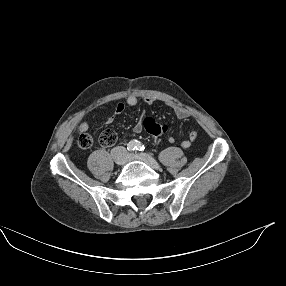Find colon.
<instances>
[{
    "instance_id": "colon-1",
    "label": "colon",
    "mask_w": 286,
    "mask_h": 286,
    "mask_svg": "<svg viewBox=\"0 0 286 286\" xmlns=\"http://www.w3.org/2000/svg\"><path fill=\"white\" fill-rule=\"evenodd\" d=\"M145 130L155 136H166L167 126L163 125L156 120L149 118L144 124ZM117 141V133L112 129H107L99 136V142L103 146H111ZM93 138L88 134L81 132L78 137V145L81 148L88 149L93 146Z\"/></svg>"
}]
</instances>
